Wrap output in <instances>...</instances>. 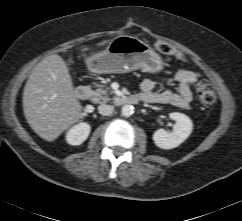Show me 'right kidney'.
Returning a JSON list of instances; mask_svg holds the SVG:
<instances>
[{"mask_svg": "<svg viewBox=\"0 0 242 221\" xmlns=\"http://www.w3.org/2000/svg\"><path fill=\"white\" fill-rule=\"evenodd\" d=\"M90 130H91V127L88 123L81 122L73 126L66 133V141L70 145H80L88 138Z\"/></svg>", "mask_w": 242, "mask_h": 221, "instance_id": "right-kidney-1", "label": "right kidney"}]
</instances>
